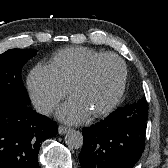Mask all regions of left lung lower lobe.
Wrapping results in <instances>:
<instances>
[{"mask_svg": "<svg viewBox=\"0 0 168 168\" xmlns=\"http://www.w3.org/2000/svg\"><path fill=\"white\" fill-rule=\"evenodd\" d=\"M147 102H135L83 128L82 168H133L145 148Z\"/></svg>", "mask_w": 168, "mask_h": 168, "instance_id": "left-lung-lower-lobe-1", "label": "left lung lower lobe"}]
</instances>
